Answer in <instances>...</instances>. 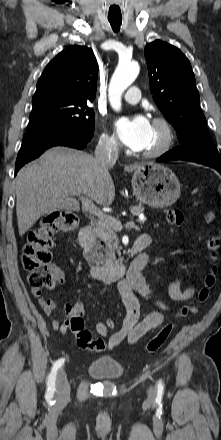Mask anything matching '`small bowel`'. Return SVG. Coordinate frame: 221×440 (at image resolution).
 <instances>
[{
    "label": "small bowel",
    "instance_id": "c3829d8e",
    "mask_svg": "<svg viewBox=\"0 0 221 440\" xmlns=\"http://www.w3.org/2000/svg\"><path fill=\"white\" fill-rule=\"evenodd\" d=\"M138 240L144 241L146 247L151 243L150 236L146 234L140 236ZM143 258L148 259V255L143 254L139 256L133 264ZM59 276L63 281L61 273H59ZM117 289L126 308V316L121 328L110 333L109 330L111 329L105 327L104 322H99L96 325L97 332L107 339L109 349L117 347L123 341H127L129 344L136 343L146 333L162 325L164 322V313L169 309L164 303L154 300L150 286L141 272L135 270L134 265L130 268L127 276L117 282ZM194 292L195 287L182 288L178 277L174 278L169 284V295L175 301H186L193 296ZM31 294L36 299L45 315L52 316L57 308L56 303L45 297L39 290L32 288ZM138 296L154 301L157 310L149 312L141 318ZM74 306V304L70 303L64 304L62 320H51L52 328L59 331L62 335H65L70 327V317L73 313Z\"/></svg>",
    "mask_w": 221,
    "mask_h": 440
}]
</instances>
